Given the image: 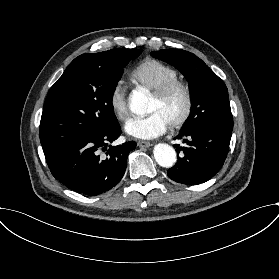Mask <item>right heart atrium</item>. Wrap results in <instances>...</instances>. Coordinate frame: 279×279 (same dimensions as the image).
<instances>
[{
  "label": "right heart atrium",
  "mask_w": 279,
  "mask_h": 279,
  "mask_svg": "<svg viewBox=\"0 0 279 279\" xmlns=\"http://www.w3.org/2000/svg\"><path fill=\"white\" fill-rule=\"evenodd\" d=\"M128 88L123 79H118L108 96V104L118 121H124L129 115Z\"/></svg>",
  "instance_id": "right-heart-atrium-1"
}]
</instances>
